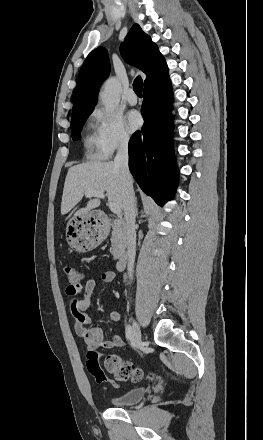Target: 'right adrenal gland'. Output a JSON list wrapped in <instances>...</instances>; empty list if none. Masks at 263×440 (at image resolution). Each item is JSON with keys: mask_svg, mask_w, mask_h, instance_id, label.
Segmentation results:
<instances>
[{"mask_svg": "<svg viewBox=\"0 0 263 440\" xmlns=\"http://www.w3.org/2000/svg\"><path fill=\"white\" fill-rule=\"evenodd\" d=\"M135 208H136V214L138 213V210H137V200L135 199Z\"/></svg>", "mask_w": 263, "mask_h": 440, "instance_id": "2a0ac1e0", "label": "right adrenal gland"}]
</instances>
